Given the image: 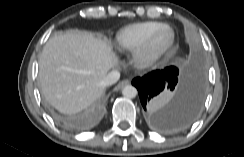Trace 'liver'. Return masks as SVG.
Here are the masks:
<instances>
[{"label":"liver","mask_w":244,"mask_h":157,"mask_svg":"<svg viewBox=\"0 0 244 157\" xmlns=\"http://www.w3.org/2000/svg\"><path fill=\"white\" fill-rule=\"evenodd\" d=\"M117 63L111 45L92 33L72 30L51 37L39 58V83L59 112L75 114L102 97V84Z\"/></svg>","instance_id":"obj_1"}]
</instances>
